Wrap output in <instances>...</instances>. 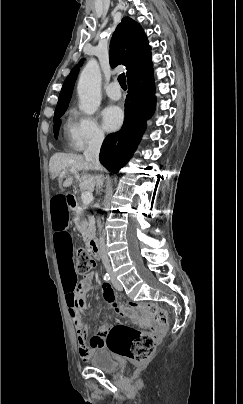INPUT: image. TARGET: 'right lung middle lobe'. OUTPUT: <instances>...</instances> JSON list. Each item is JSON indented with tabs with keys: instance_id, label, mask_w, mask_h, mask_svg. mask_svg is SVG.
Wrapping results in <instances>:
<instances>
[{
	"instance_id": "right-lung-middle-lobe-1",
	"label": "right lung middle lobe",
	"mask_w": 243,
	"mask_h": 404,
	"mask_svg": "<svg viewBox=\"0 0 243 404\" xmlns=\"http://www.w3.org/2000/svg\"><path fill=\"white\" fill-rule=\"evenodd\" d=\"M67 107H63L60 109L55 110V114H54V119L53 121L56 122L54 124V135L55 138H57L58 136V131H59V127H60V120L59 118L64 114V112L66 111Z\"/></svg>"
}]
</instances>
